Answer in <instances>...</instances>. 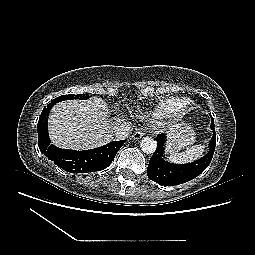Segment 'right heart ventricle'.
Here are the masks:
<instances>
[{"mask_svg": "<svg viewBox=\"0 0 255 255\" xmlns=\"http://www.w3.org/2000/svg\"><path fill=\"white\" fill-rule=\"evenodd\" d=\"M189 101L182 97H170L160 101L156 106L145 110L142 118H168L174 115L175 109H184Z\"/></svg>", "mask_w": 255, "mask_h": 255, "instance_id": "obj_1", "label": "right heart ventricle"}]
</instances>
